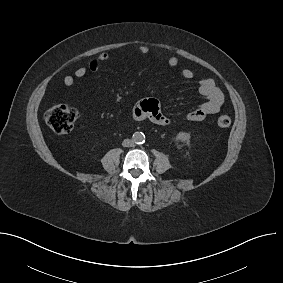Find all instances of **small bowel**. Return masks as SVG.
Listing matches in <instances>:
<instances>
[{"label": "small bowel", "instance_id": "small-bowel-1", "mask_svg": "<svg viewBox=\"0 0 283 283\" xmlns=\"http://www.w3.org/2000/svg\"><path fill=\"white\" fill-rule=\"evenodd\" d=\"M128 52L145 55L149 52V48L143 44H136L131 46ZM157 56L171 67H175L178 64V59L175 56H164L160 53H157ZM108 60V53H100L89 63L88 68L79 67L73 75H66L63 80L64 84L67 87H72L77 79L84 78L88 71L97 72L101 64ZM180 76L185 80H191L194 78V73L190 69H183L180 72ZM198 92L205 98V102L187 114V119L192 122L203 121L207 116L218 113L224 103V95L213 79H201L198 82ZM133 117L137 121L150 120L157 125H167L170 123V119L161 111L159 102L152 98L142 100L136 104L133 109Z\"/></svg>", "mask_w": 283, "mask_h": 283}]
</instances>
